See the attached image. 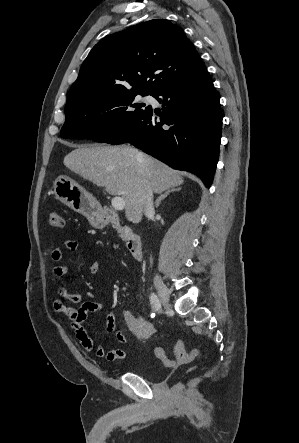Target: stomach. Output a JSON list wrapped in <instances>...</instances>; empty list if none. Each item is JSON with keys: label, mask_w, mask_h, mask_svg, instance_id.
<instances>
[{"label": "stomach", "mask_w": 299, "mask_h": 443, "mask_svg": "<svg viewBox=\"0 0 299 443\" xmlns=\"http://www.w3.org/2000/svg\"><path fill=\"white\" fill-rule=\"evenodd\" d=\"M53 187L55 197L69 208L86 216L92 226L102 228L107 224L96 199L74 180L68 176H58Z\"/></svg>", "instance_id": "obj_1"}]
</instances>
